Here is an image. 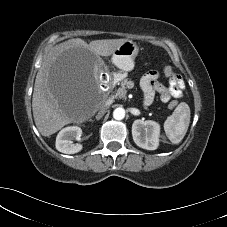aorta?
Listing matches in <instances>:
<instances>
[{
	"label": "aorta",
	"instance_id": "aorta-1",
	"mask_svg": "<svg viewBox=\"0 0 227 227\" xmlns=\"http://www.w3.org/2000/svg\"><path fill=\"white\" fill-rule=\"evenodd\" d=\"M113 117L116 120H122L125 117V110L121 107L116 108L113 111Z\"/></svg>",
	"mask_w": 227,
	"mask_h": 227
}]
</instances>
